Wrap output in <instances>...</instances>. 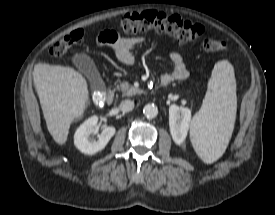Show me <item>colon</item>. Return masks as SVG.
I'll return each instance as SVG.
<instances>
[{"mask_svg":"<svg viewBox=\"0 0 275 215\" xmlns=\"http://www.w3.org/2000/svg\"><path fill=\"white\" fill-rule=\"evenodd\" d=\"M119 26L125 33H139L154 30L168 34L182 43L200 41L207 52H223L227 44L207 36L205 29L197 23L178 15H168L158 11L127 13L120 17ZM84 32L75 30L56 41L49 49L52 57L65 55L69 49L83 40Z\"/></svg>","mask_w":275,"mask_h":215,"instance_id":"obj_1","label":"colon"}]
</instances>
